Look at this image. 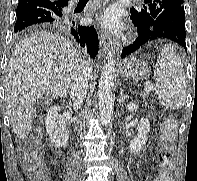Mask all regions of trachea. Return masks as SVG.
Returning <instances> with one entry per match:
<instances>
[{
  "label": "trachea",
  "mask_w": 197,
  "mask_h": 181,
  "mask_svg": "<svg viewBox=\"0 0 197 181\" xmlns=\"http://www.w3.org/2000/svg\"><path fill=\"white\" fill-rule=\"evenodd\" d=\"M79 1H88V0H79Z\"/></svg>",
  "instance_id": "1"
}]
</instances>
